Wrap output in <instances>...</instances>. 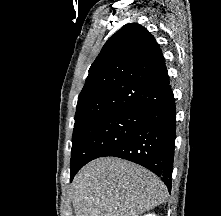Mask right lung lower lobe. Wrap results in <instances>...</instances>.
<instances>
[{"mask_svg": "<svg viewBox=\"0 0 221 216\" xmlns=\"http://www.w3.org/2000/svg\"><path fill=\"white\" fill-rule=\"evenodd\" d=\"M176 110L170 89L153 107L145 112L136 132L104 156L123 158L151 170L171 191L175 148ZM84 165L71 168V180Z\"/></svg>", "mask_w": 221, "mask_h": 216, "instance_id": "1", "label": "right lung lower lobe"}]
</instances>
